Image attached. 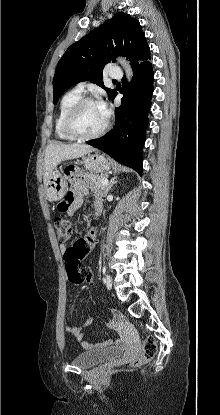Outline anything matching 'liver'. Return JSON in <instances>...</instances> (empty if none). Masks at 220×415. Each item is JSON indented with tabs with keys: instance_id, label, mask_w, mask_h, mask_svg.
Instances as JSON below:
<instances>
[{
	"instance_id": "1",
	"label": "liver",
	"mask_w": 220,
	"mask_h": 415,
	"mask_svg": "<svg viewBox=\"0 0 220 415\" xmlns=\"http://www.w3.org/2000/svg\"><path fill=\"white\" fill-rule=\"evenodd\" d=\"M93 151H95V149L86 144H49L45 150L43 174L44 185L46 186L50 175L59 163L64 160L82 157Z\"/></svg>"
}]
</instances>
